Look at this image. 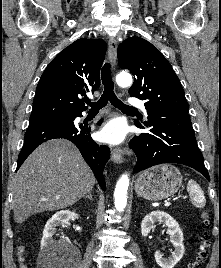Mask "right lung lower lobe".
Masks as SVG:
<instances>
[{"mask_svg":"<svg viewBox=\"0 0 221 268\" xmlns=\"http://www.w3.org/2000/svg\"><path fill=\"white\" fill-rule=\"evenodd\" d=\"M101 122L102 120L99 124ZM54 138H64L76 145L92 169L100 187L105 191L103 170L109 160L110 149L107 146L96 144L90 136V127L74 124V119L30 122L26 130L23 148L18 156L17 170L36 147Z\"/></svg>","mask_w":221,"mask_h":268,"instance_id":"98d812e1","label":"right lung lower lobe"}]
</instances>
